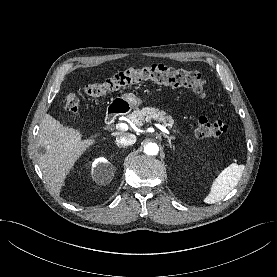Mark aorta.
<instances>
[{
	"label": "aorta",
	"instance_id": "762f6f07",
	"mask_svg": "<svg viewBox=\"0 0 277 277\" xmlns=\"http://www.w3.org/2000/svg\"><path fill=\"white\" fill-rule=\"evenodd\" d=\"M159 151L158 145L156 143H148L145 148H144V152L147 155H157Z\"/></svg>",
	"mask_w": 277,
	"mask_h": 277
}]
</instances>
